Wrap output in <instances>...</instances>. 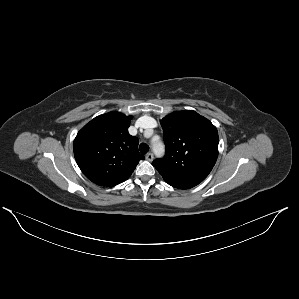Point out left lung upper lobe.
Listing matches in <instances>:
<instances>
[{
    "mask_svg": "<svg viewBox=\"0 0 299 299\" xmlns=\"http://www.w3.org/2000/svg\"><path fill=\"white\" fill-rule=\"evenodd\" d=\"M166 154L153 161L167 183L198 185L218 157V132L193 110L173 112L161 120Z\"/></svg>",
    "mask_w": 299,
    "mask_h": 299,
    "instance_id": "1",
    "label": "left lung upper lobe"
}]
</instances>
